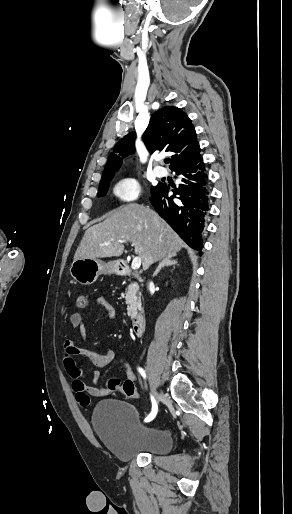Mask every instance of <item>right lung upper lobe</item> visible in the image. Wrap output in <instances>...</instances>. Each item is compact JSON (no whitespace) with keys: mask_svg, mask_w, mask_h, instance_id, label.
Instances as JSON below:
<instances>
[{"mask_svg":"<svg viewBox=\"0 0 292 514\" xmlns=\"http://www.w3.org/2000/svg\"><path fill=\"white\" fill-rule=\"evenodd\" d=\"M136 134L124 136L114 147L103 172L101 181L113 178L122 165V158L135 150ZM143 141L150 153L168 152L169 168L190 160L200 154L195 129L185 112L178 107L166 106L156 111L143 134Z\"/></svg>","mask_w":292,"mask_h":514,"instance_id":"cb5924a9","label":"right lung upper lobe"}]
</instances>
